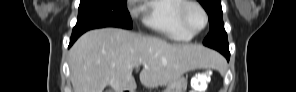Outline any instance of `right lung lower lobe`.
I'll return each mask as SVG.
<instances>
[{
    "instance_id": "1",
    "label": "right lung lower lobe",
    "mask_w": 296,
    "mask_h": 92,
    "mask_svg": "<svg viewBox=\"0 0 296 92\" xmlns=\"http://www.w3.org/2000/svg\"><path fill=\"white\" fill-rule=\"evenodd\" d=\"M80 35H81L80 33H76V32H73V33H72V36H71V39H70L69 47L75 42V40H76Z\"/></svg>"
}]
</instances>
